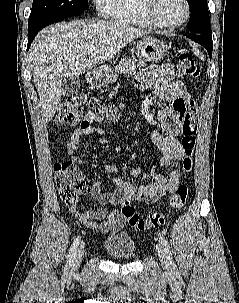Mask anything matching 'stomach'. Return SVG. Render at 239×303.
<instances>
[{"label":"stomach","instance_id":"stomach-1","mask_svg":"<svg viewBox=\"0 0 239 303\" xmlns=\"http://www.w3.org/2000/svg\"><path fill=\"white\" fill-rule=\"evenodd\" d=\"M136 54L146 61H158L168 54V46L156 38L146 36L137 42ZM116 78V70L110 65H104L99 70L92 72L89 83L93 86L103 87L115 81Z\"/></svg>","mask_w":239,"mask_h":303}]
</instances>
